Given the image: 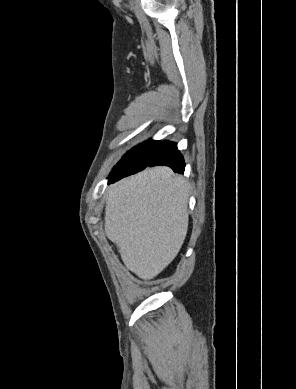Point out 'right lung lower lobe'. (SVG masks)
Masks as SVG:
<instances>
[{"label":"right lung lower lobe","mask_w":296,"mask_h":389,"mask_svg":"<svg viewBox=\"0 0 296 389\" xmlns=\"http://www.w3.org/2000/svg\"><path fill=\"white\" fill-rule=\"evenodd\" d=\"M169 166L173 169L174 172L183 173L185 168V163L183 156L180 154L177 149V144L170 141L160 142L155 149L147 156L146 164L138 168H126L119 170H112L109 175V182L114 183L120 180L123 177L135 174L146 167L153 166Z\"/></svg>","instance_id":"98d812e1"}]
</instances>
